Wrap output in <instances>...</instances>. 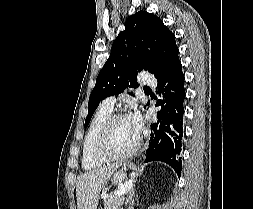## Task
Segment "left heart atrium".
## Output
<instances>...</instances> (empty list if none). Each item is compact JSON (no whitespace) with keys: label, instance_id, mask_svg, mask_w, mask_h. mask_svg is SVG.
I'll use <instances>...</instances> for the list:
<instances>
[{"label":"left heart atrium","instance_id":"left-heart-atrium-1","mask_svg":"<svg viewBox=\"0 0 253 209\" xmlns=\"http://www.w3.org/2000/svg\"><path fill=\"white\" fill-rule=\"evenodd\" d=\"M127 119L132 126L134 132L139 135L142 129V119L138 111H132L128 116Z\"/></svg>","mask_w":253,"mask_h":209}]
</instances>
